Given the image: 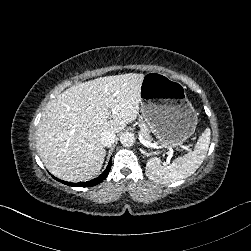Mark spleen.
I'll return each instance as SVG.
<instances>
[{
	"instance_id": "spleen-1",
	"label": "spleen",
	"mask_w": 251,
	"mask_h": 251,
	"mask_svg": "<svg viewBox=\"0 0 251 251\" xmlns=\"http://www.w3.org/2000/svg\"><path fill=\"white\" fill-rule=\"evenodd\" d=\"M210 128L199 137L194 150L179 157L170 166L160 164L158 158H151L146 164V176L157 183H169L191 176L202 164L210 144Z\"/></svg>"
}]
</instances>
